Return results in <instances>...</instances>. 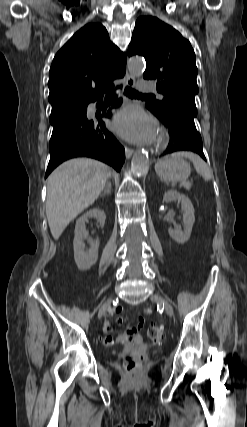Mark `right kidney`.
<instances>
[{
    "instance_id": "obj_1",
    "label": "right kidney",
    "mask_w": 247,
    "mask_h": 427,
    "mask_svg": "<svg viewBox=\"0 0 247 427\" xmlns=\"http://www.w3.org/2000/svg\"><path fill=\"white\" fill-rule=\"evenodd\" d=\"M89 218L97 219L101 227H104L106 215L103 210L94 208L78 218L76 222L73 240L74 259L77 267L82 271L90 269L98 259L99 240L91 241V247L88 251L85 250V245L83 243V240L88 238V231L86 230L85 223L88 222Z\"/></svg>"
}]
</instances>
